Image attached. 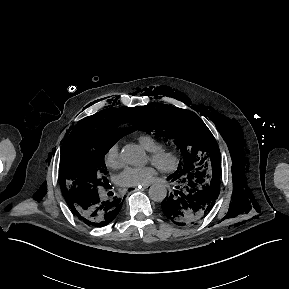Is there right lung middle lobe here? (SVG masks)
<instances>
[{"mask_svg":"<svg viewBox=\"0 0 289 289\" xmlns=\"http://www.w3.org/2000/svg\"><path fill=\"white\" fill-rule=\"evenodd\" d=\"M116 129L84 131L75 136L61 156L59 181L63 196L69 200L98 190L106 174L104 156L123 136Z\"/></svg>","mask_w":289,"mask_h":289,"instance_id":"obj_1","label":"right lung middle lobe"}]
</instances>
